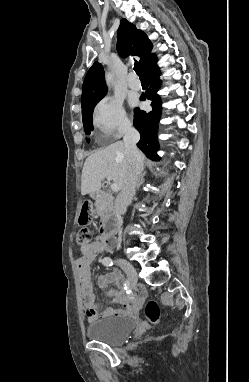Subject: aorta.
<instances>
[{
	"mask_svg": "<svg viewBox=\"0 0 249 382\" xmlns=\"http://www.w3.org/2000/svg\"><path fill=\"white\" fill-rule=\"evenodd\" d=\"M105 79H106L107 84L110 85V83L113 80V75L111 73H106Z\"/></svg>",
	"mask_w": 249,
	"mask_h": 382,
	"instance_id": "762f6f07",
	"label": "aorta"
}]
</instances>
